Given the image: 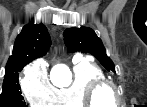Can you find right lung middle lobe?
<instances>
[{"instance_id": "dd1d6c3e", "label": "right lung middle lobe", "mask_w": 147, "mask_h": 107, "mask_svg": "<svg viewBox=\"0 0 147 107\" xmlns=\"http://www.w3.org/2000/svg\"><path fill=\"white\" fill-rule=\"evenodd\" d=\"M32 60L23 63L19 68V72L23 67ZM19 72L12 73L4 77L2 93L0 97V107H27L24 98L21 95L19 84Z\"/></svg>"}]
</instances>
